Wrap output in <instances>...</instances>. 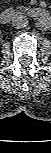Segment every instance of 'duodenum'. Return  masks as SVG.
Returning <instances> with one entry per match:
<instances>
[{
	"instance_id": "1",
	"label": "duodenum",
	"mask_w": 51,
	"mask_h": 153,
	"mask_svg": "<svg viewBox=\"0 0 51 153\" xmlns=\"http://www.w3.org/2000/svg\"><path fill=\"white\" fill-rule=\"evenodd\" d=\"M18 16H26L30 18H47L48 11L41 7H32L26 9L9 8L2 11L0 19L2 23L6 24Z\"/></svg>"
}]
</instances>
